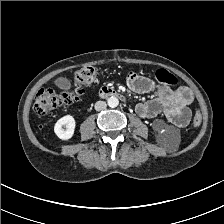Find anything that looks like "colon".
Returning <instances> with one entry per match:
<instances>
[{
    "label": "colon",
    "mask_w": 224,
    "mask_h": 224,
    "mask_svg": "<svg viewBox=\"0 0 224 224\" xmlns=\"http://www.w3.org/2000/svg\"><path fill=\"white\" fill-rule=\"evenodd\" d=\"M99 71L92 65H86L79 68L74 74V90L55 92L50 88L40 89L36 95L34 109L39 116H47L51 111L59 106L68 105L77 100L82 93L83 86H89L96 82ZM156 78L160 83L167 85H175L176 77L165 69L156 71ZM202 117L200 111H196L192 118L193 127H198L201 124Z\"/></svg>",
    "instance_id": "obj_1"
}]
</instances>
